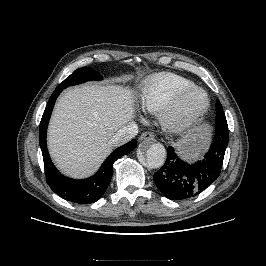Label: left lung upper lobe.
<instances>
[{
    "mask_svg": "<svg viewBox=\"0 0 266 266\" xmlns=\"http://www.w3.org/2000/svg\"><path fill=\"white\" fill-rule=\"evenodd\" d=\"M216 135L219 137L223 130H228L227 121L219 101L216 104Z\"/></svg>",
    "mask_w": 266,
    "mask_h": 266,
    "instance_id": "left-lung-upper-lobe-1",
    "label": "left lung upper lobe"
}]
</instances>
